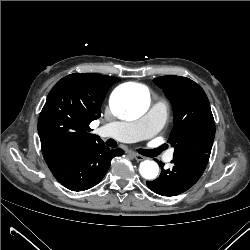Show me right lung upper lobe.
<instances>
[{
	"mask_svg": "<svg viewBox=\"0 0 250 250\" xmlns=\"http://www.w3.org/2000/svg\"><path fill=\"white\" fill-rule=\"evenodd\" d=\"M118 81L113 76L73 73L55 84L38 119L45 160L103 142L90 133L89 124L100 117L104 97Z\"/></svg>",
	"mask_w": 250,
	"mask_h": 250,
	"instance_id": "right-lung-upper-lobe-1",
	"label": "right lung upper lobe"
}]
</instances>
